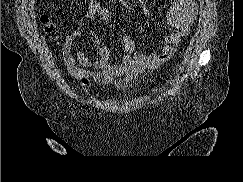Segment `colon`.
<instances>
[{
    "label": "colon",
    "instance_id": "5ec220e1",
    "mask_svg": "<svg viewBox=\"0 0 243 182\" xmlns=\"http://www.w3.org/2000/svg\"><path fill=\"white\" fill-rule=\"evenodd\" d=\"M41 21L43 22L46 32L52 37V38H58L59 32L56 28V25L51 20V18L48 15H43L41 17Z\"/></svg>",
    "mask_w": 243,
    "mask_h": 182
}]
</instances>
